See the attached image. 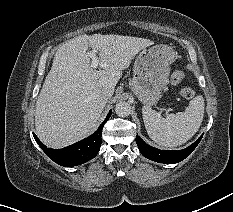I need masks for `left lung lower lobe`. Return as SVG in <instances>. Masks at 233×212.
<instances>
[{"mask_svg":"<svg viewBox=\"0 0 233 212\" xmlns=\"http://www.w3.org/2000/svg\"><path fill=\"white\" fill-rule=\"evenodd\" d=\"M203 136V135H202ZM198 138L196 142H194L189 147L178 150V151H168V150H159L154 147L149 146L146 144L139 136H136V143L141 154L153 161L160 162V163H167L173 164L182 161L185 159L191 152L196 148L199 144L201 138Z\"/></svg>","mask_w":233,"mask_h":212,"instance_id":"left-lung-lower-lobe-1","label":"left lung lower lobe"}]
</instances>
